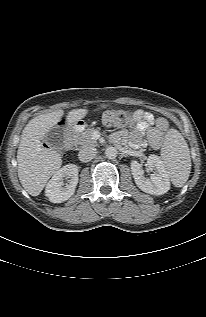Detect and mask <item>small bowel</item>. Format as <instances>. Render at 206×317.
<instances>
[{
	"label": "small bowel",
	"instance_id": "small-bowel-1",
	"mask_svg": "<svg viewBox=\"0 0 206 317\" xmlns=\"http://www.w3.org/2000/svg\"><path fill=\"white\" fill-rule=\"evenodd\" d=\"M132 118L136 123L135 128L131 132H119L115 134V138L129 140L134 148L145 147L148 143L152 148L158 149L169 127L168 121L163 117L155 118L153 114L144 110H136ZM145 136L147 141L144 139Z\"/></svg>",
	"mask_w": 206,
	"mask_h": 317
}]
</instances>
